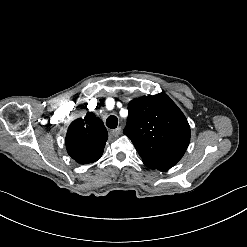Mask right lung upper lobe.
<instances>
[{"mask_svg":"<svg viewBox=\"0 0 247 247\" xmlns=\"http://www.w3.org/2000/svg\"><path fill=\"white\" fill-rule=\"evenodd\" d=\"M107 137L103 122L88 112L84 119H76L68 127L67 152L79 164L93 163L102 156Z\"/></svg>","mask_w":247,"mask_h":247,"instance_id":"obj_1","label":"right lung upper lobe"}]
</instances>
